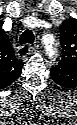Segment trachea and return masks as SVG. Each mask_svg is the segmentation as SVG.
<instances>
[{
    "instance_id": "3493384b",
    "label": "trachea",
    "mask_w": 77,
    "mask_h": 125,
    "mask_svg": "<svg viewBox=\"0 0 77 125\" xmlns=\"http://www.w3.org/2000/svg\"><path fill=\"white\" fill-rule=\"evenodd\" d=\"M20 44H32L34 42V34L31 30L24 31L20 36Z\"/></svg>"
}]
</instances>
